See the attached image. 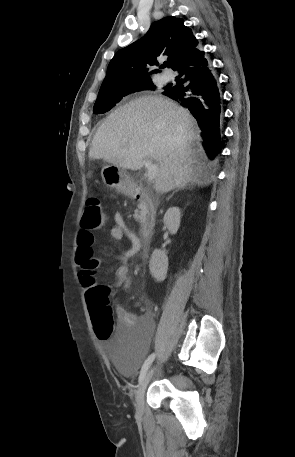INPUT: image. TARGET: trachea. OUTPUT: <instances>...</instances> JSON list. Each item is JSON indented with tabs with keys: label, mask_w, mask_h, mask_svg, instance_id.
Returning <instances> with one entry per match:
<instances>
[{
	"label": "trachea",
	"mask_w": 295,
	"mask_h": 457,
	"mask_svg": "<svg viewBox=\"0 0 295 457\" xmlns=\"http://www.w3.org/2000/svg\"><path fill=\"white\" fill-rule=\"evenodd\" d=\"M167 66V63H164L163 67H166Z\"/></svg>",
	"instance_id": "1"
}]
</instances>
